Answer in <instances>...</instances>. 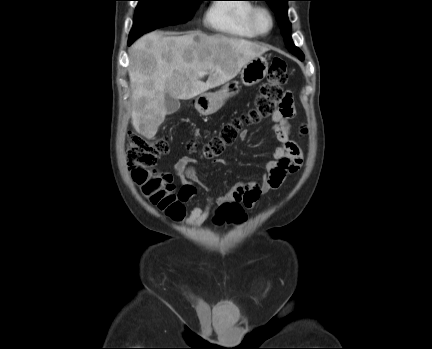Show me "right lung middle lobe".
Masks as SVG:
<instances>
[{
	"label": "right lung middle lobe",
	"mask_w": 432,
	"mask_h": 349,
	"mask_svg": "<svg viewBox=\"0 0 432 349\" xmlns=\"http://www.w3.org/2000/svg\"><path fill=\"white\" fill-rule=\"evenodd\" d=\"M131 44L142 34L158 27L185 23L191 19L198 3L204 0H137Z\"/></svg>",
	"instance_id": "dd1d6c3e"
}]
</instances>
